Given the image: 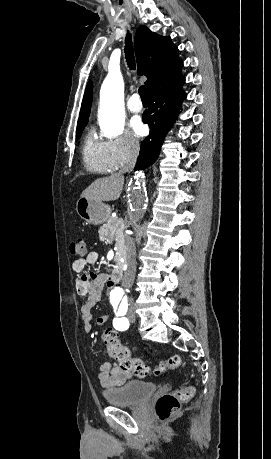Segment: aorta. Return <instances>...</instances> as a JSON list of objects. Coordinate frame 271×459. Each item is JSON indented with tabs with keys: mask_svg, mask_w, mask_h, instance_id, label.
I'll return each instance as SVG.
<instances>
[{
	"mask_svg": "<svg viewBox=\"0 0 271 459\" xmlns=\"http://www.w3.org/2000/svg\"><path fill=\"white\" fill-rule=\"evenodd\" d=\"M124 82L120 72H110L100 91L99 122L102 131L118 136L124 130ZM147 181L136 173L128 192V216L133 225L144 217L147 208Z\"/></svg>",
	"mask_w": 271,
	"mask_h": 459,
	"instance_id": "obj_1",
	"label": "aorta"
}]
</instances>
